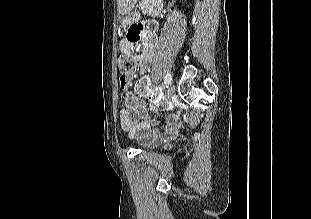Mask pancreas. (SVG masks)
Returning <instances> with one entry per match:
<instances>
[{
	"label": "pancreas",
	"instance_id": "obj_1",
	"mask_svg": "<svg viewBox=\"0 0 311 219\" xmlns=\"http://www.w3.org/2000/svg\"><path fill=\"white\" fill-rule=\"evenodd\" d=\"M157 5L158 3L156 0H140L137 7L140 8L144 14H146L150 13Z\"/></svg>",
	"mask_w": 311,
	"mask_h": 219
}]
</instances>
